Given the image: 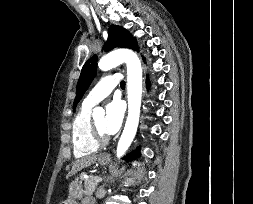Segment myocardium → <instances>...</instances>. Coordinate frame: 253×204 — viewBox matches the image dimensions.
Returning a JSON list of instances; mask_svg holds the SVG:
<instances>
[{
	"label": "myocardium",
	"mask_w": 253,
	"mask_h": 204,
	"mask_svg": "<svg viewBox=\"0 0 253 204\" xmlns=\"http://www.w3.org/2000/svg\"><path fill=\"white\" fill-rule=\"evenodd\" d=\"M91 129L93 138L99 145H104L109 141L108 135L101 132L93 120H91Z\"/></svg>",
	"instance_id": "myocardium-1"
}]
</instances>
